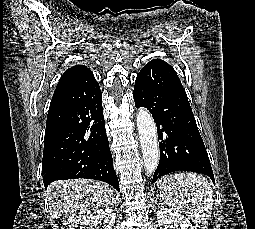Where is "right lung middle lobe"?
Segmentation results:
<instances>
[{"instance_id":"dd1d6c3e","label":"right lung middle lobe","mask_w":255,"mask_h":229,"mask_svg":"<svg viewBox=\"0 0 255 229\" xmlns=\"http://www.w3.org/2000/svg\"><path fill=\"white\" fill-rule=\"evenodd\" d=\"M56 132L54 130L45 131V141H44V153L55 139Z\"/></svg>"}]
</instances>
